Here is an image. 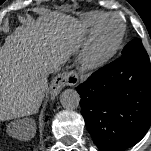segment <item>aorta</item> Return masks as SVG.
<instances>
[{"label":"aorta","mask_w":151,"mask_h":151,"mask_svg":"<svg viewBox=\"0 0 151 151\" xmlns=\"http://www.w3.org/2000/svg\"><path fill=\"white\" fill-rule=\"evenodd\" d=\"M60 102L66 109H75L79 106L80 95L76 90L66 89L60 95Z\"/></svg>","instance_id":"1"}]
</instances>
